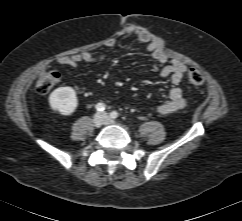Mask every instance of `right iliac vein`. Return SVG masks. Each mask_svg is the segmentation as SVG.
<instances>
[{"mask_svg":"<svg viewBox=\"0 0 242 221\" xmlns=\"http://www.w3.org/2000/svg\"><path fill=\"white\" fill-rule=\"evenodd\" d=\"M105 122V117L104 115L100 114V113H97L94 115L93 117V125L96 127V128H99L101 127Z\"/></svg>","mask_w":242,"mask_h":221,"instance_id":"obj_1","label":"right iliac vein"}]
</instances>
